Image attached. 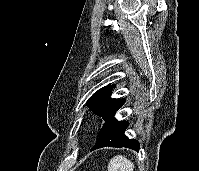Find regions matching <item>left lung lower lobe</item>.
Segmentation results:
<instances>
[{
	"mask_svg": "<svg viewBox=\"0 0 199 171\" xmlns=\"http://www.w3.org/2000/svg\"><path fill=\"white\" fill-rule=\"evenodd\" d=\"M119 108L117 110H119ZM117 110L105 121L100 131L99 139L91 151L107 146L118 148L126 147L137 151L139 150V142L134 139H129L125 135L129 123L127 121H118L114 117Z\"/></svg>",
	"mask_w": 199,
	"mask_h": 171,
	"instance_id": "0a47b994",
	"label": "left lung lower lobe"
}]
</instances>
